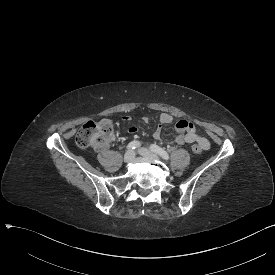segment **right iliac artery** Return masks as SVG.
Wrapping results in <instances>:
<instances>
[{
  "instance_id": "right-iliac-artery-1",
  "label": "right iliac artery",
  "mask_w": 275,
  "mask_h": 275,
  "mask_svg": "<svg viewBox=\"0 0 275 275\" xmlns=\"http://www.w3.org/2000/svg\"><path fill=\"white\" fill-rule=\"evenodd\" d=\"M141 146V143L139 141H132L127 145L128 150H133Z\"/></svg>"
}]
</instances>
